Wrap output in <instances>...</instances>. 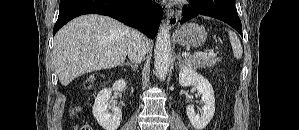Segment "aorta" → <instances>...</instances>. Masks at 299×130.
<instances>
[{
    "label": "aorta",
    "instance_id": "obj_1",
    "mask_svg": "<svg viewBox=\"0 0 299 130\" xmlns=\"http://www.w3.org/2000/svg\"><path fill=\"white\" fill-rule=\"evenodd\" d=\"M171 63V40L169 27L162 25L159 29L154 50V67L160 80H165Z\"/></svg>",
    "mask_w": 299,
    "mask_h": 130
}]
</instances>
